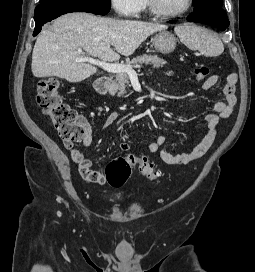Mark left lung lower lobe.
<instances>
[{
	"label": "left lung lower lobe",
	"mask_w": 255,
	"mask_h": 272,
	"mask_svg": "<svg viewBox=\"0 0 255 272\" xmlns=\"http://www.w3.org/2000/svg\"><path fill=\"white\" fill-rule=\"evenodd\" d=\"M187 20L189 22L208 24L220 30H225L229 26L226 12L222 9V6L216 4H209L196 9Z\"/></svg>",
	"instance_id": "obj_1"
}]
</instances>
